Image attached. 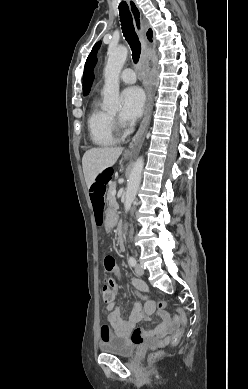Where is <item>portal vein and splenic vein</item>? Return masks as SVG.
Wrapping results in <instances>:
<instances>
[{
	"instance_id": "1",
	"label": "portal vein and splenic vein",
	"mask_w": 248,
	"mask_h": 389,
	"mask_svg": "<svg viewBox=\"0 0 248 389\" xmlns=\"http://www.w3.org/2000/svg\"><path fill=\"white\" fill-rule=\"evenodd\" d=\"M113 195H114V196L116 195V191L113 192Z\"/></svg>"
}]
</instances>
